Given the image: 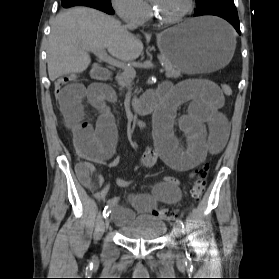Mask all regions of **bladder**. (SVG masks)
Wrapping results in <instances>:
<instances>
[{
  "mask_svg": "<svg viewBox=\"0 0 279 279\" xmlns=\"http://www.w3.org/2000/svg\"><path fill=\"white\" fill-rule=\"evenodd\" d=\"M167 230L166 223L152 215H142L133 218L127 225L118 226L119 234L130 240L155 241Z\"/></svg>",
  "mask_w": 279,
  "mask_h": 279,
  "instance_id": "31cf9c89",
  "label": "bladder"
}]
</instances>
